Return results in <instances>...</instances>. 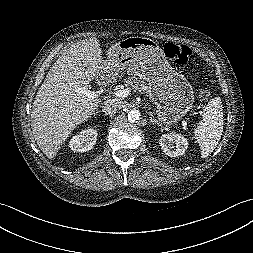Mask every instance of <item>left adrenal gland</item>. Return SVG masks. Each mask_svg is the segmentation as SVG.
Instances as JSON below:
<instances>
[{"label":"left adrenal gland","instance_id":"1","mask_svg":"<svg viewBox=\"0 0 253 253\" xmlns=\"http://www.w3.org/2000/svg\"><path fill=\"white\" fill-rule=\"evenodd\" d=\"M150 122L152 123V124H157V125H161L160 123H158V121L151 115V117H150Z\"/></svg>","mask_w":253,"mask_h":253}]
</instances>
